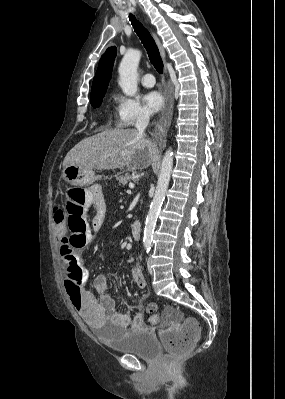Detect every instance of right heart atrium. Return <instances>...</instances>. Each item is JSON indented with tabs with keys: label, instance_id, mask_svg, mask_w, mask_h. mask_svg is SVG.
<instances>
[{
	"label": "right heart atrium",
	"instance_id": "1",
	"mask_svg": "<svg viewBox=\"0 0 285 399\" xmlns=\"http://www.w3.org/2000/svg\"><path fill=\"white\" fill-rule=\"evenodd\" d=\"M115 101L116 119L119 126L130 127L138 121H144L149 118L148 111L137 100L117 94Z\"/></svg>",
	"mask_w": 285,
	"mask_h": 399
}]
</instances>
